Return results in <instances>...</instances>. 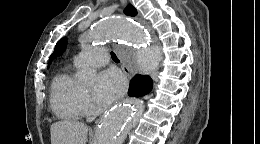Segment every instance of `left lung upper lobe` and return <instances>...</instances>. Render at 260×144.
Wrapping results in <instances>:
<instances>
[{
  "instance_id": "5c2ea615",
  "label": "left lung upper lobe",
  "mask_w": 260,
  "mask_h": 144,
  "mask_svg": "<svg viewBox=\"0 0 260 144\" xmlns=\"http://www.w3.org/2000/svg\"><path fill=\"white\" fill-rule=\"evenodd\" d=\"M124 12L130 16H135L137 14L136 9L132 5H128ZM66 44L67 40L65 37L57 42L53 54L49 57V64L54 58L60 56L64 52Z\"/></svg>"
}]
</instances>
